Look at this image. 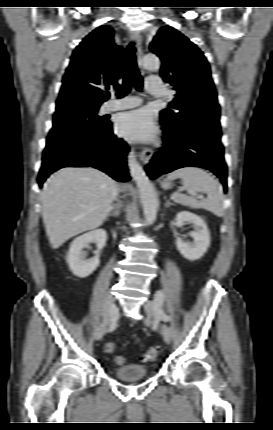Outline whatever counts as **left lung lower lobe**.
Returning a JSON list of instances; mask_svg holds the SVG:
<instances>
[{"label":"left lung lower lobe","mask_w":273,"mask_h":430,"mask_svg":"<svg viewBox=\"0 0 273 430\" xmlns=\"http://www.w3.org/2000/svg\"><path fill=\"white\" fill-rule=\"evenodd\" d=\"M164 148L156 153L146 171L151 179L178 168L196 166L214 172L227 190V167L221 143V127L215 115H198L189 125L178 127L161 116Z\"/></svg>","instance_id":"1"}]
</instances>
